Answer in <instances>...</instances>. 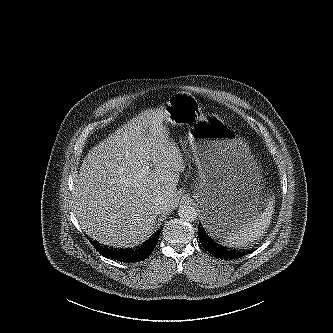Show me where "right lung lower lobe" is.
I'll return each mask as SVG.
<instances>
[{
  "mask_svg": "<svg viewBox=\"0 0 333 333\" xmlns=\"http://www.w3.org/2000/svg\"><path fill=\"white\" fill-rule=\"evenodd\" d=\"M158 239L159 233H154V235H152V237L147 240L143 245L131 251H117L115 249L113 250L105 246H101L97 243L92 242V244L97 249V251H99V253L104 257L121 262H138L148 258L151 255L158 242Z\"/></svg>",
  "mask_w": 333,
  "mask_h": 333,
  "instance_id": "right-lung-lower-lobe-1",
  "label": "right lung lower lobe"
}]
</instances>
